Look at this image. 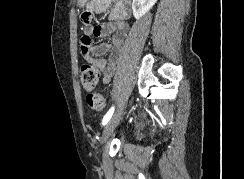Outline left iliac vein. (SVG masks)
Wrapping results in <instances>:
<instances>
[{
	"mask_svg": "<svg viewBox=\"0 0 244 179\" xmlns=\"http://www.w3.org/2000/svg\"><path fill=\"white\" fill-rule=\"evenodd\" d=\"M126 107V102L122 104V106L116 111V113L112 116V118L107 122V124L104 127L102 137H101V144H105L110 136L112 135L115 127L119 124V121L121 119V116L124 112V109Z\"/></svg>",
	"mask_w": 244,
	"mask_h": 179,
	"instance_id": "left-iliac-vein-1",
	"label": "left iliac vein"
}]
</instances>
